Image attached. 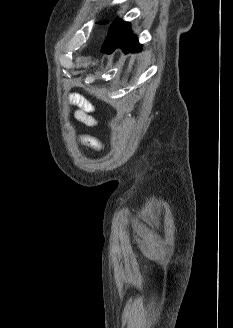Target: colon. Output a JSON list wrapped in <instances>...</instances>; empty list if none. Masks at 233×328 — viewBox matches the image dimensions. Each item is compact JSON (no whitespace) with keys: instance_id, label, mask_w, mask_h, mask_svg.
<instances>
[{"instance_id":"1","label":"colon","mask_w":233,"mask_h":328,"mask_svg":"<svg viewBox=\"0 0 233 328\" xmlns=\"http://www.w3.org/2000/svg\"><path fill=\"white\" fill-rule=\"evenodd\" d=\"M85 141L90 143L91 145H93L95 148L100 147V144L98 143V141L93 138H86Z\"/></svg>"}]
</instances>
